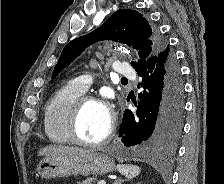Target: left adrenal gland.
<instances>
[{
    "mask_svg": "<svg viewBox=\"0 0 224 184\" xmlns=\"http://www.w3.org/2000/svg\"><path fill=\"white\" fill-rule=\"evenodd\" d=\"M124 181L125 180H123V179H117V180L114 181L113 184H122Z\"/></svg>",
    "mask_w": 224,
    "mask_h": 184,
    "instance_id": "obj_1",
    "label": "left adrenal gland"
}]
</instances>
